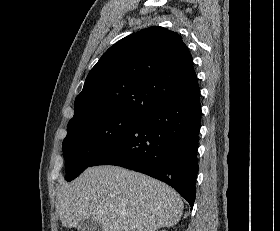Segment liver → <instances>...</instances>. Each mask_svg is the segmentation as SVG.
<instances>
[{
	"label": "liver",
	"mask_w": 280,
	"mask_h": 231,
	"mask_svg": "<svg viewBox=\"0 0 280 231\" xmlns=\"http://www.w3.org/2000/svg\"><path fill=\"white\" fill-rule=\"evenodd\" d=\"M65 227L93 217L102 231H155L172 227L183 213V201L167 183L117 165L87 167L57 193Z\"/></svg>",
	"instance_id": "liver-1"
}]
</instances>
